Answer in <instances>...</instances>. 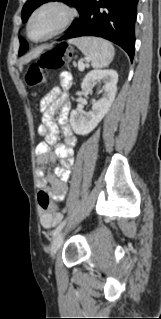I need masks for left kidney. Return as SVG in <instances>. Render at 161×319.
Returning a JSON list of instances; mask_svg holds the SVG:
<instances>
[{
    "label": "left kidney",
    "instance_id": "left-kidney-1",
    "mask_svg": "<svg viewBox=\"0 0 161 319\" xmlns=\"http://www.w3.org/2000/svg\"><path fill=\"white\" fill-rule=\"evenodd\" d=\"M117 81L118 74L112 69L93 70L85 76L81 84L84 94H89L92 90V85L95 83H103V95L99 100L93 101L90 111L83 112L76 109L71 112L70 124L76 134H89L107 114L116 96Z\"/></svg>",
    "mask_w": 161,
    "mask_h": 319
}]
</instances>
